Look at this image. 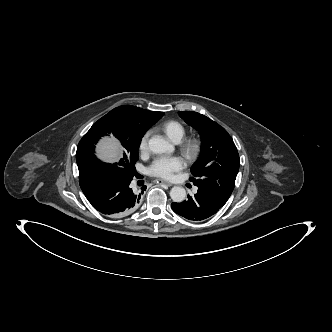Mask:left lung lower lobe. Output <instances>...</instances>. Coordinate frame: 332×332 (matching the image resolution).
<instances>
[{"mask_svg": "<svg viewBox=\"0 0 332 332\" xmlns=\"http://www.w3.org/2000/svg\"><path fill=\"white\" fill-rule=\"evenodd\" d=\"M226 201L214 194L198 188L195 195H188V200L172 203V209L178 215L193 221L205 220L214 215Z\"/></svg>", "mask_w": 332, "mask_h": 332, "instance_id": "1", "label": "left lung lower lobe"}]
</instances>
